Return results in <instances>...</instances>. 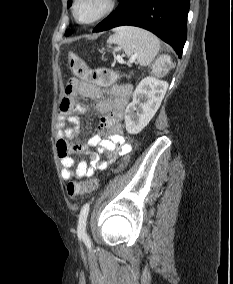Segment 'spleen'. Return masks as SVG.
<instances>
[{
	"label": "spleen",
	"instance_id": "1",
	"mask_svg": "<svg viewBox=\"0 0 233 284\" xmlns=\"http://www.w3.org/2000/svg\"><path fill=\"white\" fill-rule=\"evenodd\" d=\"M107 43L119 45L127 56H134L142 66L150 65L160 50V41L155 35L132 26L116 28L115 34L109 37ZM168 64L171 65L170 60H168ZM167 70L168 68L162 67L160 62L156 65V71L159 74Z\"/></svg>",
	"mask_w": 233,
	"mask_h": 284
}]
</instances>
